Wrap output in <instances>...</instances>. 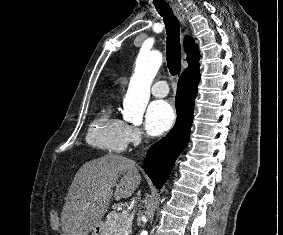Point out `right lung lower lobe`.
Returning <instances> with one entry per match:
<instances>
[{"label": "right lung lower lobe", "instance_id": "1", "mask_svg": "<svg viewBox=\"0 0 283 235\" xmlns=\"http://www.w3.org/2000/svg\"><path fill=\"white\" fill-rule=\"evenodd\" d=\"M199 80V72L181 75L175 98V126L164 138L150 147L144 160V170L158 189L165 183L175 160L189 140Z\"/></svg>", "mask_w": 283, "mask_h": 235}]
</instances>
